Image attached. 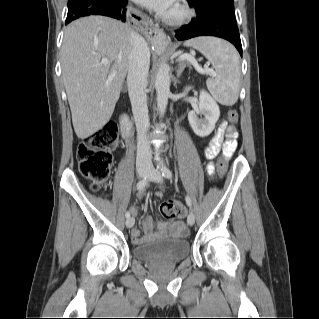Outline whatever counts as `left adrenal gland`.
Masks as SVG:
<instances>
[{
	"label": "left adrenal gland",
	"mask_w": 319,
	"mask_h": 319,
	"mask_svg": "<svg viewBox=\"0 0 319 319\" xmlns=\"http://www.w3.org/2000/svg\"><path fill=\"white\" fill-rule=\"evenodd\" d=\"M184 68H185V65L184 64H179V66H178V69H177V78H179L180 76H181V74H182V72H183V70H184Z\"/></svg>",
	"instance_id": "a2214340"
}]
</instances>
